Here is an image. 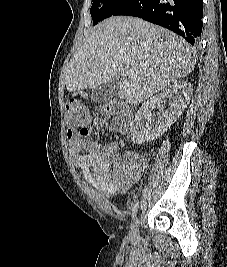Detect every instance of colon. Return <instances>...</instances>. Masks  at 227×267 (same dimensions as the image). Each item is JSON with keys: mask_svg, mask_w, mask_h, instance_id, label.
I'll list each match as a JSON object with an SVG mask.
<instances>
[{"mask_svg": "<svg viewBox=\"0 0 227 267\" xmlns=\"http://www.w3.org/2000/svg\"><path fill=\"white\" fill-rule=\"evenodd\" d=\"M100 112L106 117L116 116L119 123H124L128 119V113L124 106L118 100H112L106 103ZM66 119L73 126H82L90 121V113L84 104L77 100H72L66 105Z\"/></svg>", "mask_w": 227, "mask_h": 267, "instance_id": "colon-1", "label": "colon"}]
</instances>
